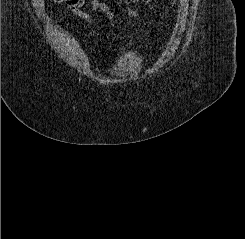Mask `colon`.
<instances>
[{
    "label": "colon",
    "instance_id": "5ec220e1",
    "mask_svg": "<svg viewBox=\"0 0 245 239\" xmlns=\"http://www.w3.org/2000/svg\"><path fill=\"white\" fill-rule=\"evenodd\" d=\"M57 2H65L67 4H71L75 2V0H56ZM151 0H123L124 3L126 4H132L136 2H150Z\"/></svg>",
    "mask_w": 245,
    "mask_h": 239
}]
</instances>
